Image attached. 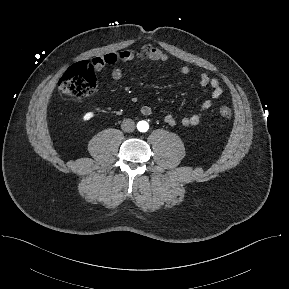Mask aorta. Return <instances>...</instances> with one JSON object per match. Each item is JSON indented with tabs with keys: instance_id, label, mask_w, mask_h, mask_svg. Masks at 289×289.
Returning a JSON list of instances; mask_svg holds the SVG:
<instances>
[{
	"instance_id": "obj_1",
	"label": "aorta",
	"mask_w": 289,
	"mask_h": 289,
	"mask_svg": "<svg viewBox=\"0 0 289 289\" xmlns=\"http://www.w3.org/2000/svg\"><path fill=\"white\" fill-rule=\"evenodd\" d=\"M137 127L140 132H146L149 128V125L146 121H140Z\"/></svg>"
}]
</instances>
